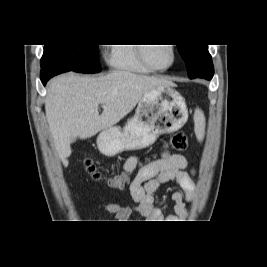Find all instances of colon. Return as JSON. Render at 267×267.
<instances>
[{
  "mask_svg": "<svg viewBox=\"0 0 267 267\" xmlns=\"http://www.w3.org/2000/svg\"><path fill=\"white\" fill-rule=\"evenodd\" d=\"M167 146L175 151H184L188 147V138L185 132L178 131L174 133L169 139ZM85 170L94 178L100 179L101 172L96 162L92 158L84 160ZM127 171H120L118 175H112L109 184L110 188H123V185H128L131 182V177H127Z\"/></svg>",
  "mask_w": 267,
  "mask_h": 267,
  "instance_id": "obj_1",
  "label": "colon"
}]
</instances>
